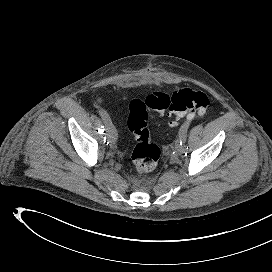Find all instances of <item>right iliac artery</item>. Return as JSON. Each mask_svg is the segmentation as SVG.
<instances>
[{
    "instance_id": "82829eb1",
    "label": "right iliac artery",
    "mask_w": 272,
    "mask_h": 272,
    "mask_svg": "<svg viewBox=\"0 0 272 272\" xmlns=\"http://www.w3.org/2000/svg\"><path fill=\"white\" fill-rule=\"evenodd\" d=\"M99 115L101 116V118L103 119L104 122H106L108 119H110V117L108 116L106 111L103 109L99 110Z\"/></svg>"
}]
</instances>
